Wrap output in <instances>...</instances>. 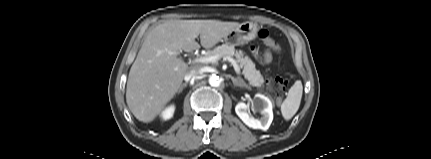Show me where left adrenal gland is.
I'll return each mask as SVG.
<instances>
[{
  "mask_svg": "<svg viewBox=\"0 0 431 159\" xmlns=\"http://www.w3.org/2000/svg\"><path fill=\"white\" fill-rule=\"evenodd\" d=\"M234 86H239V87H244L247 88L248 90H250L251 88L240 78H234L232 76H230Z\"/></svg>",
  "mask_w": 431,
  "mask_h": 159,
  "instance_id": "1",
  "label": "left adrenal gland"
}]
</instances>
